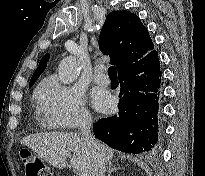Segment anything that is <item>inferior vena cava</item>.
<instances>
[{
    "label": "inferior vena cava",
    "mask_w": 205,
    "mask_h": 176,
    "mask_svg": "<svg viewBox=\"0 0 205 176\" xmlns=\"http://www.w3.org/2000/svg\"><path fill=\"white\" fill-rule=\"evenodd\" d=\"M92 119L84 117L80 123L81 138L93 154L94 171L92 176H105V157L101 146L91 133Z\"/></svg>",
    "instance_id": "inferior-vena-cava-1"
}]
</instances>
